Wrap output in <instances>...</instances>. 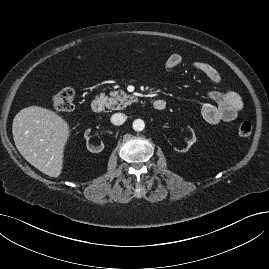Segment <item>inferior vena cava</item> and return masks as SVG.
<instances>
[{
	"mask_svg": "<svg viewBox=\"0 0 269 269\" xmlns=\"http://www.w3.org/2000/svg\"><path fill=\"white\" fill-rule=\"evenodd\" d=\"M127 119V116L123 113H116L111 116V123L118 126L122 125Z\"/></svg>",
	"mask_w": 269,
	"mask_h": 269,
	"instance_id": "1",
	"label": "inferior vena cava"
}]
</instances>
